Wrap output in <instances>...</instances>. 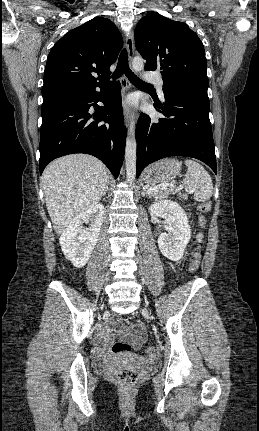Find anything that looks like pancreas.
Returning <instances> with one entry per match:
<instances>
[{
	"label": "pancreas",
	"mask_w": 259,
	"mask_h": 431,
	"mask_svg": "<svg viewBox=\"0 0 259 431\" xmlns=\"http://www.w3.org/2000/svg\"><path fill=\"white\" fill-rule=\"evenodd\" d=\"M151 187H156V186H151ZM173 186H171V188H169V189H163V190H159V191H157V192H153L152 193V196L154 197V198H156V199H163V198H167L168 197V195L170 194V193H172L173 192ZM182 196V198H184V199H187L188 198V196L186 195V194H183V195H181Z\"/></svg>",
	"instance_id": "pancreas-1"
}]
</instances>
